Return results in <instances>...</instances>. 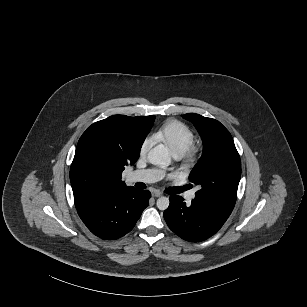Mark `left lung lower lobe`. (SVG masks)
<instances>
[{
  "label": "left lung lower lobe",
  "instance_id": "obj_1",
  "mask_svg": "<svg viewBox=\"0 0 307 307\" xmlns=\"http://www.w3.org/2000/svg\"><path fill=\"white\" fill-rule=\"evenodd\" d=\"M229 216L217 212L195 200L186 205L180 196H170V205L164 212L169 228L182 239L199 242L214 235Z\"/></svg>",
  "mask_w": 307,
  "mask_h": 307
}]
</instances>
